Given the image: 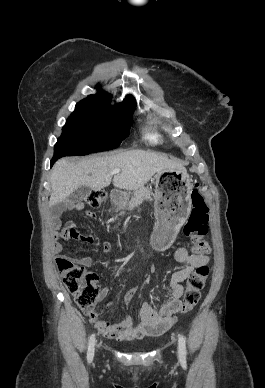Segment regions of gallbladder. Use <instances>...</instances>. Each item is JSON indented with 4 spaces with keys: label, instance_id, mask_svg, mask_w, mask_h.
I'll use <instances>...</instances> for the list:
<instances>
[{
    "label": "gallbladder",
    "instance_id": "obj_1",
    "mask_svg": "<svg viewBox=\"0 0 265 388\" xmlns=\"http://www.w3.org/2000/svg\"><path fill=\"white\" fill-rule=\"evenodd\" d=\"M90 192L91 190L90 188H87V186H80V188H77V190L69 196L68 202H71V204H81L82 200L87 198Z\"/></svg>",
    "mask_w": 265,
    "mask_h": 388
}]
</instances>
